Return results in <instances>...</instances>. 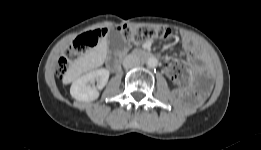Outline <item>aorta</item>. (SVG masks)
<instances>
[{"label":"aorta","instance_id":"aorta-1","mask_svg":"<svg viewBox=\"0 0 261 150\" xmlns=\"http://www.w3.org/2000/svg\"><path fill=\"white\" fill-rule=\"evenodd\" d=\"M146 64L149 68H155L158 65V60L156 57H149L146 61Z\"/></svg>","mask_w":261,"mask_h":150}]
</instances>
